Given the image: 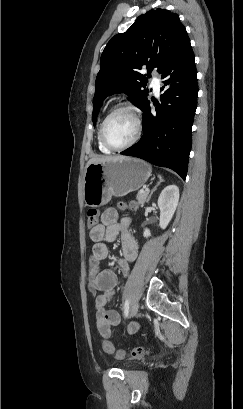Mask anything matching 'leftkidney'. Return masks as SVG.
I'll return each instance as SVG.
<instances>
[{
    "mask_svg": "<svg viewBox=\"0 0 243 409\" xmlns=\"http://www.w3.org/2000/svg\"><path fill=\"white\" fill-rule=\"evenodd\" d=\"M178 201H179V188L176 185L166 186L162 190L158 198V206L160 209V219H159L160 228L165 229L168 226L177 208ZM143 236L146 238L151 236V232L148 228L144 229Z\"/></svg>",
    "mask_w": 243,
    "mask_h": 409,
    "instance_id": "left-kidney-1",
    "label": "left kidney"
}]
</instances>
